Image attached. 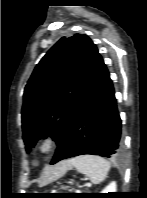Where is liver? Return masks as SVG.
<instances>
[{
  "label": "liver",
  "instance_id": "6515ba94",
  "mask_svg": "<svg viewBox=\"0 0 147 198\" xmlns=\"http://www.w3.org/2000/svg\"><path fill=\"white\" fill-rule=\"evenodd\" d=\"M72 168V161L65 160L57 163L53 167L49 168L40 183V185H45L51 181H54L60 177H62L69 169Z\"/></svg>",
  "mask_w": 147,
  "mask_h": 198
}]
</instances>
